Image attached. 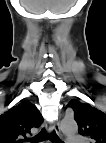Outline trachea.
I'll return each instance as SVG.
<instances>
[{
  "label": "trachea",
  "mask_w": 106,
  "mask_h": 143,
  "mask_svg": "<svg viewBox=\"0 0 106 143\" xmlns=\"http://www.w3.org/2000/svg\"><path fill=\"white\" fill-rule=\"evenodd\" d=\"M46 139H49L53 143H62L55 132H53L51 135H47L44 129H42L38 135L32 138L31 141L38 142Z\"/></svg>",
  "instance_id": "obj_1"
}]
</instances>
